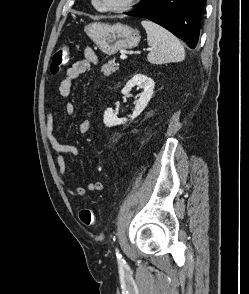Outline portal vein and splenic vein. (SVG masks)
Instances as JSON below:
<instances>
[{
  "mask_svg": "<svg viewBox=\"0 0 249 294\" xmlns=\"http://www.w3.org/2000/svg\"><path fill=\"white\" fill-rule=\"evenodd\" d=\"M126 58H127L126 55H121V56H120V59H122V60H124V59H126Z\"/></svg>",
  "mask_w": 249,
  "mask_h": 294,
  "instance_id": "portal-vein-and-splenic-vein-1",
  "label": "portal vein and splenic vein"
}]
</instances>
